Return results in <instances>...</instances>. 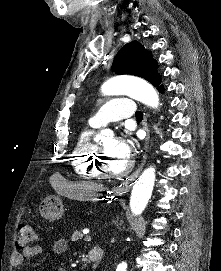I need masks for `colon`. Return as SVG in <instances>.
Returning a JSON list of instances; mask_svg holds the SVG:
<instances>
[{"label": "colon", "instance_id": "1", "mask_svg": "<svg viewBox=\"0 0 221 271\" xmlns=\"http://www.w3.org/2000/svg\"><path fill=\"white\" fill-rule=\"evenodd\" d=\"M36 241V235L32 226L28 223L22 222L18 226L16 235V249L21 251L32 246Z\"/></svg>", "mask_w": 221, "mask_h": 271}]
</instances>
